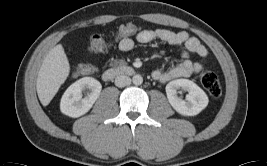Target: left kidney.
I'll return each mask as SVG.
<instances>
[{"label":"left kidney","instance_id":"left-kidney-1","mask_svg":"<svg viewBox=\"0 0 267 166\" xmlns=\"http://www.w3.org/2000/svg\"><path fill=\"white\" fill-rule=\"evenodd\" d=\"M187 91L186 100L177 95V90ZM166 94L171 106L181 115L195 116L208 105V96L194 82L188 79H177L166 85Z\"/></svg>","mask_w":267,"mask_h":166}]
</instances>
